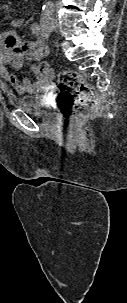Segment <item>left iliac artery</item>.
<instances>
[{
	"mask_svg": "<svg viewBox=\"0 0 127 303\" xmlns=\"http://www.w3.org/2000/svg\"><path fill=\"white\" fill-rule=\"evenodd\" d=\"M54 11V4L51 2H47L44 6H43V10H42V16L45 15H51Z\"/></svg>",
	"mask_w": 127,
	"mask_h": 303,
	"instance_id": "left-iliac-artery-1",
	"label": "left iliac artery"
}]
</instances>
